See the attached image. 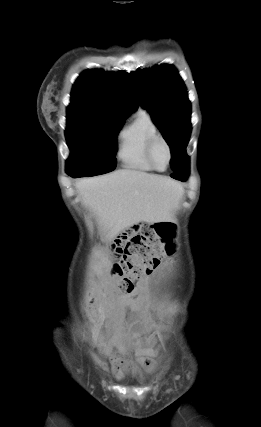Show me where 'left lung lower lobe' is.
Here are the masks:
<instances>
[{"label": "left lung lower lobe", "instance_id": "0a47b994", "mask_svg": "<svg viewBox=\"0 0 261 427\" xmlns=\"http://www.w3.org/2000/svg\"><path fill=\"white\" fill-rule=\"evenodd\" d=\"M189 174V157H186V160L182 167L174 171V173L171 174V177L177 180L185 181L188 178Z\"/></svg>", "mask_w": 261, "mask_h": 427}]
</instances>
